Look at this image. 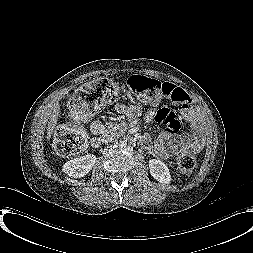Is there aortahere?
Here are the masks:
<instances>
[{
  "mask_svg": "<svg viewBox=\"0 0 253 253\" xmlns=\"http://www.w3.org/2000/svg\"><path fill=\"white\" fill-rule=\"evenodd\" d=\"M118 146H119L121 149H124V148L127 146V143H126L124 140H121V141L118 143Z\"/></svg>",
  "mask_w": 253,
  "mask_h": 253,
  "instance_id": "aorta-1",
  "label": "aorta"
}]
</instances>
